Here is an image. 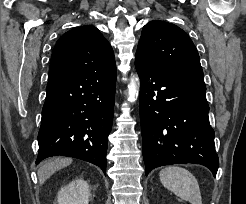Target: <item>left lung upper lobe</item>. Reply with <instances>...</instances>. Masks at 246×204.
Returning <instances> with one entry per match:
<instances>
[{
  "mask_svg": "<svg viewBox=\"0 0 246 204\" xmlns=\"http://www.w3.org/2000/svg\"><path fill=\"white\" fill-rule=\"evenodd\" d=\"M135 63L203 80L199 54L192 40L185 31L168 22L155 20L143 27Z\"/></svg>",
  "mask_w": 246,
  "mask_h": 204,
  "instance_id": "obj_1",
  "label": "left lung upper lobe"
}]
</instances>
